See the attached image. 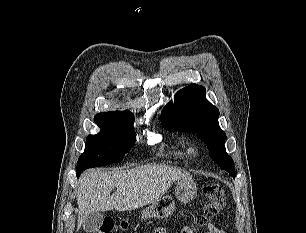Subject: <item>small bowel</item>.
Returning a JSON list of instances; mask_svg holds the SVG:
<instances>
[{
	"label": "small bowel",
	"instance_id": "obj_1",
	"mask_svg": "<svg viewBox=\"0 0 306 233\" xmlns=\"http://www.w3.org/2000/svg\"><path fill=\"white\" fill-rule=\"evenodd\" d=\"M156 232L158 233H166L164 229H159ZM181 233H193L191 227L186 225L182 228ZM205 233H225L222 229L218 228L213 224H208L207 231Z\"/></svg>",
	"mask_w": 306,
	"mask_h": 233
}]
</instances>
